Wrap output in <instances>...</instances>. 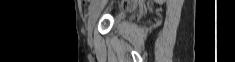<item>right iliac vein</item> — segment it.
<instances>
[{"mask_svg": "<svg viewBox=\"0 0 235 62\" xmlns=\"http://www.w3.org/2000/svg\"><path fill=\"white\" fill-rule=\"evenodd\" d=\"M103 6H96L93 11L91 12L90 14V17L88 19V23H87V31L89 33V35L92 34V31H93V28H94V25H95V22L98 18V15H99V12H100V9L102 8Z\"/></svg>", "mask_w": 235, "mask_h": 62, "instance_id": "obj_1", "label": "right iliac vein"}]
</instances>
